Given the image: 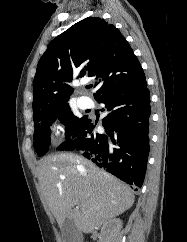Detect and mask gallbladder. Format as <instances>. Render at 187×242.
<instances>
[{"instance_id": "bac80fb5", "label": "gallbladder", "mask_w": 187, "mask_h": 242, "mask_svg": "<svg viewBox=\"0 0 187 242\" xmlns=\"http://www.w3.org/2000/svg\"><path fill=\"white\" fill-rule=\"evenodd\" d=\"M62 242H80L81 233L76 228L74 222L66 218L61 226Z\"/></svg>"}]
</instances>
